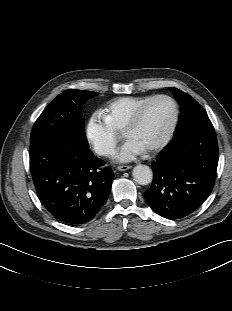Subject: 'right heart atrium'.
Returning a JSON list of instances; mask_svg holds the SVG:
<instances>
[{"label":"right heart atrium","mask_w":232,"mask_h":311,"mask_svg":"<svg viewBox=\"0 0 232 311\" xmlns=\"http://www.w3.org/2000/svg\"><path fill=\"white\" fill-rule=\"evenodd\" d=\"M85 137L95 152L101 156H111L119 141L117 133L99 113L93 114L88 119Z\"/></svg>","instance_id":"obj_1"}]
</instances>
